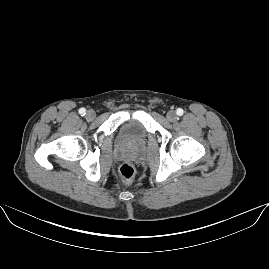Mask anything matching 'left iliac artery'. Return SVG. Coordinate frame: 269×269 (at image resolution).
<instances>
[{"label":"left iliac artery","instance_id":"obj_1","mask_svg":"<svg viewBox=\"0 0 269 269\" xmlns=\"http://www.w3.org/2000/svg\"><path fill=\"white\" fill-rule=\"evenodd\" d=\"M176 113H177V115L182 116L183 113H184V111H183V109L178 108L177 111H176Z\"/></svg>","mask_w":269,"mask_h":269}]
</instances>
